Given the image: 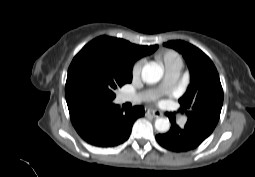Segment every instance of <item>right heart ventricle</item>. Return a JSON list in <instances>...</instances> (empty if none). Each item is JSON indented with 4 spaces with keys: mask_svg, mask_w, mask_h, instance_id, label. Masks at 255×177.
<instances>
[{
    "mask_svg": "<svg viewBox=\"0 0 255 177\" xmlns=\"http://www.w3.org/2000/svg\"><path fill=\"white\" fill-rule=\"evenodd\" d=\"M157 59L163 66L166 74H178L183 68V58L173 49H164L157 53Z\"/></svg>",
    "mask_w": 255,
    "mask_h": 177,
    "instance_id": "obj_1",
    "label": "right heart ventricle"
}]
</instances>
